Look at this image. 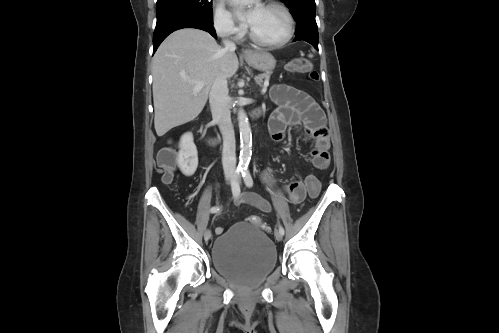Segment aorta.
<instances>
[{"label": "aorta", "mask_w": 499, "mask_h": 333, "mask_svg": "<svg viewBox=\"0 0 499 333\" xmlns=\"http://www.w3.org/2000/svg\"><path fill=\"white\" fill-rule=\"evenodd\" d=\"M238 123L241 144L238 167L240 169H246L249 165L252 154V134L248 117L243 109H239L238 111Z\"/></svg>", "instance_id": "aorta-1"}]
</instances>
